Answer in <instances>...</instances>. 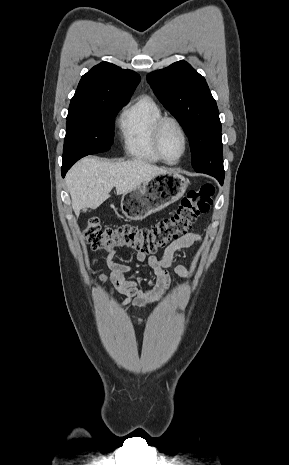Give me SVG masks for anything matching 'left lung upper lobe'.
<instances>
[{
  "mask_svg": "<svg viewBox=\"0 0 289 465\" xmlns=\"http://www.w3.org/2000/svg\"><path fill=\"white\" fill-rule=\"evenodd\" d=\"M147 81L188 136L195 171L224 176L219 112L204 77L178 61L149 73Z\"/></svg>",
  "mask_w": 289,
  "mask_h": 465,
  "instance_id": "5c2ea615",
  "label": "left lung upper lobe"
}]
</instances>
